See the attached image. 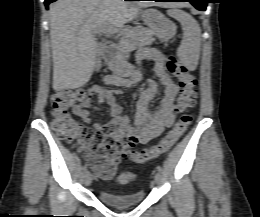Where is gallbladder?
<instances>
[{
	"label": "gallbladder",
	"instance_id": "gallbladder-1",
	"mask_svg": "<svg viewBox=\"0 0 260 217\" xmlns=\"http://www.w3.org/2000/svg\"><path fill=\"white\" fill-rule=\"evenodd\" d=\"M100 62H101V61H100V57H98L97 60H96V62H95V69H96V70H99V69H100V66H101Z\"/></svg>",
	"mask_w": 260,
	"mask_h": 217
}]
</instances>
